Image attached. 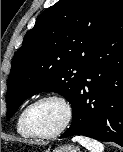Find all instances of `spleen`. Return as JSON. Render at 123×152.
<instances>
[{"label":"spleen","instance_id":"spleen-1","mask_svg":"<svg viewBox=\"0 0 123 152\" xmlns=\"http://www.w3.org/2000/svg\"><path fill=\"white\" fill-rule=\"evenodd\" d=\"M72 140L75 142H78L80 145L84 146L90 152H103L104 151V145L97 140L90 139L88 137H84V136H80V135L73 137Z\"/></svg>","mask_w":123,"mask_h":152}]
</instances>
